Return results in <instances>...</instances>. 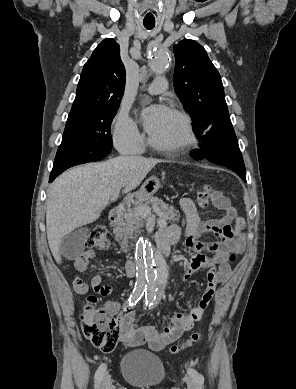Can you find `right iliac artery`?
<instances>
[{
  "instance_id": "82829eb1",
  "label": "right iliac artery",
  "mask_w": 296,
  "mask_h": 389,
  "mask_svg": "<svg viewBox=\"0 0 296 389\" xmlns=\"http://www.w3.org/2000/svg\"><path fill=\"white\" fill-rule=\"evenodd\" d=\"M146 289H143L142 287H135L133 290L132 295H130V298L128 300L129 306H134L136 303L141 299ZM106 372V364H102L95 373V388L99 389L102 379Z\"/></svg>"
}]
</instances>
